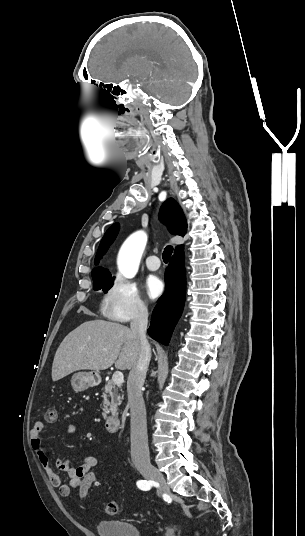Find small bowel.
<instances>
[{
	"label": "small bowel",
	"instance_id": "small-bowel-1",
	"mask_svg": "<svg viewBox=\"0 0 305 536\" xmlns=\"http://www.w3.org/2000/svg\"><path fill=\"white\" fill-rule=\"evenodd\" d=\"M43 429L44 427H32L30 432L31 447L45 470L51 485L59 488V494L62 497H68L72 489H78L79 491L81 483H83L84 479H87V469H94L97 459L94 456H86L74 461L67 457H60L55 460L54 467H52L41 442L40 436ZM74 431V425H70L67 429L68 433H73ZM60 473H64L68 477L69 483H62Z\"/></svg>",
	"mask_w": 305,
	"mask_h": 536
}]
</instances>
